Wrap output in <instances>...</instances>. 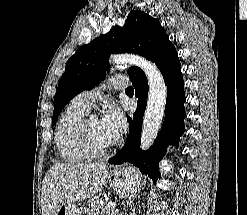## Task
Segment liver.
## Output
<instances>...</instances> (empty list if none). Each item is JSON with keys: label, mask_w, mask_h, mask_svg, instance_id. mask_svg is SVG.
Masks as SVG:
<instances>
[{"label": "liver", "mask_w": 247, "mask_h": 215, "mask_svg": "<svg viewBox=\"0 0 247 215\" xmlns=\"http://www.w3.org/2000/svg\"><path fill=\"white\" fill-rule=\"evenodd\" d=\"M108 178L104 163H55L43 180L42 215H54L61 204L92 196Z\"/></svg>", "instance_id": "obj_1"}]
</instances>
